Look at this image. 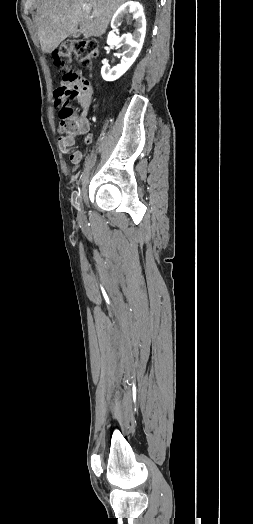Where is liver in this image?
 Masks as SVG:
<instances>
[{"label":"liver","mask_w":253,"mask_h":524,"mask_svg":"<svg viewBox=\"0 0 253 524\" xmlns=\"http://www.w3.org/2000/svg\"><path fill=\"white\" fill-rule=\"evenodd\" d=\"M126 0H38L35 21L42 51L51 53L77 31L84 38L100 37L115 11ZM90 5V13L84 9ZM93 12H97L94 15Z\"/></svg>","instance_id":"liver-1"}]
</instances>
